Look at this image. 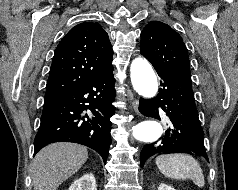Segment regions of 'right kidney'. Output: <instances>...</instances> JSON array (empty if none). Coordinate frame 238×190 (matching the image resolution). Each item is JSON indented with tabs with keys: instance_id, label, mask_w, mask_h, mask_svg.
<instances>
[{
	"instance_id": "obj_1",
	"label": "right kidney",
	"mask_w": 238,
	"mask_h": 190,
	"mask_svg": "<svg viewBox=\"0 0 238 190\" xmlns=\"http://www.w3.org/2000/svg\"><path fill=\"white\" fill-rule=\"evenodd\" d=\"M69 190H97L94 175L92 173L83 175L71 184Z\"/></svg>"
}]
</instances>
